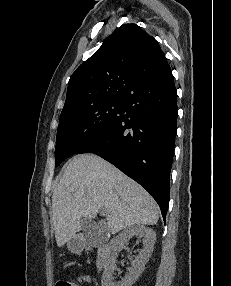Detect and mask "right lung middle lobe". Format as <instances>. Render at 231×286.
<instances>
[{
    "mask_svg": "<svg viewBox=\"0 0 231 286\" xmlns=\"http://www.w3.org/2000/svg\"><path fill=\"white\" fill-rule=\"evenodd\" d=\"M123 114V101H108L60 117L55 166L102 136Z\"/></svg>",
    "mask_w": 231,
    "mask_h": 286,
    "instance_id": "1",
    "label": "right lung middle lobe"
}]
</instances>
